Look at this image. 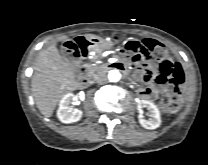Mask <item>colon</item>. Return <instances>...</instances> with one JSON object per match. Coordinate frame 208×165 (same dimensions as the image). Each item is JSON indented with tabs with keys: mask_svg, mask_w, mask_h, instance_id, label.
<instances>
[{
	"mask_svg": "<svg viewBox=\"0 0 208 165\" xmlns=\"http://www.w3.org/2000/svg\"><path fill=\"white\" fill-rule=\"evenodd\" d=\"M114 40H117L114 37ZM84 49L83 42H67L65 44V52L68 55L77 56ZM124 51L131 61L137 63L143 67L150 66L153 60H159L166 56V48L163 44L152 40L144 39L142 41L131 40L126 42L124 46ZM183 83L179 87H171L172 95L171 97L163 103V109L169 112H175L180 106L179 95L183 89Z\"/></svg>",
	"mask_w": 208,
	"mask_h": 165,
	"instance_id": "5ec220e1",
	"label": "colon"
}]
</instances>
